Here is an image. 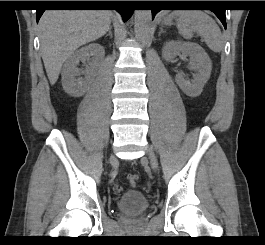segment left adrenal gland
I'll use <instances>...</instances> for the list:
<instances>
[{
  "label": "left adrenal gland",
  "mask_w": 265,
  "mask_h": 245,
  "mask_svg": "<svg viewBox=\"0 0 265 245\" xmlns=\"http://www.w3.org/2000/svg\"><path fill=\"white\" fill-rule=\"evenodd\" d=\"M162 33H165V31L163 30V28H160V32H159L158 36H161Z\"/></svg>",
  "instance_id": "1"
}]
</instances>
